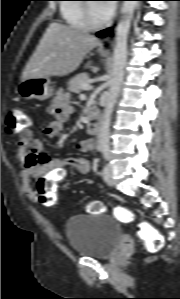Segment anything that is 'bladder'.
<instances>
[{
  "mask_svg": "<svg viewBox=\"0 0 180 299\" xmlns=\"http://www.w3.org/2000/svg\"><path fill=\"white\" fill-rule=\"evenodd\" d=\"M64 232L72 250L81 256L106 259L121 242V227L107 214H78L64 224Z\"/></svg>",
  "mask_w": 180,
  "mask_h": 299,
  "instance_id": "31cf9c89",
  "label": "bladder"
}]
</instances>
